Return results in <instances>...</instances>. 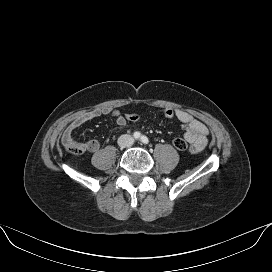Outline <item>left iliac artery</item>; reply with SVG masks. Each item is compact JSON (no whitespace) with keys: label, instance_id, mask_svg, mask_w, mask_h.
<instances>
[{"label":"left iliac artery","instance_id":"1","mask_svg":"<svg viewBox=\"0 0 272 272\" xmlns=\"http://www.w3.org/2000/svg\"><path fill=\"white\" fill-rule=\"evenodd\" d=\"M141 141L144 143V144H148L149 143V139L146 137V136H141Z\"/></svg>","mask_w":272,"mask_h":272}]
</instances>
